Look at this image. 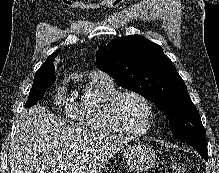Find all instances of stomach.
Instances as JSON below:
<instances>
[{"mask_svg": "<svg viewBox=\"0 0 219 173\" xmlns=\"http://www.w3.org/2000/svg\"><path fill=\"white\" fill-rule=\"evenodd\" d=\"M123 159L132 173H145L157 163L158 156L148 144L134 142L123 151Z\"/></svg>", "mask_w": 219, "mask_h": 173, "instance_id": "1", "label": "stomach"}]
</instances>
